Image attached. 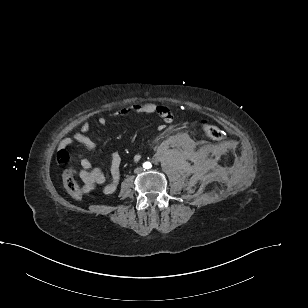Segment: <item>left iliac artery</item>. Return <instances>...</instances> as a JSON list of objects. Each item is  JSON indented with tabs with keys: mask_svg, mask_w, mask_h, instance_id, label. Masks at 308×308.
<instances>
[{
	"mask_svg": "<svg viewBox=\"0 0 308 308\" xmlns=\"http://www.w3.org/2000/svg\"><path fill=\"white\" fill-rule=\"evenodd\" d=\"M146 164H147L148 168H150V167H151V164H150V163H146Z\"/></svg>",
	"mask_w": 308,
	"mask_h": 308,
	"instance_id": "obj_1",
	"label": "left iliac artery"
}]
</instances>
